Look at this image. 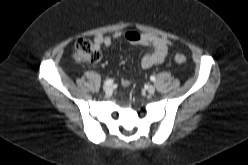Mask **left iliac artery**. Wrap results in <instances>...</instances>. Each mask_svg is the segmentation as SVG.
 <instances>
[{
	"label": "left iliac artery",
	"mask_w": 248,
	"mask_h": 165,
	"mask_svg": "<svg viewBox=\"0 0 248 165\" xmlns=\"http://www.w3.org/2000/svg\"><path fill=\"white\" fill-rule=\"evenodd\" d=\"M150 80H151V81H155V76H151V77H150Z\"/></svg>",
	"instance_id": "left-iliac-artery-1"
}]
</instances>
